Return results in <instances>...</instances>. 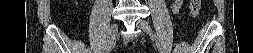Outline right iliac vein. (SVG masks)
<instances>
[{"mask_svg": "<svg viewBox=\"0 0 253 53\" xmlns=\"http://www.w3.org/2000/svg\"><path fill=\"white\" fill-rule=\"evenodd\" d=\"M117 31H118V24L113 23V25L111 26V29H110V33H109L108 43H107V47H106V53H109V50L116 39Z\"/></svg>", "mask_w": 253, "mask_h": 53, "instance_id": "right-iliac-vein-1", "label": "right iliac vein"}]
</instances>
